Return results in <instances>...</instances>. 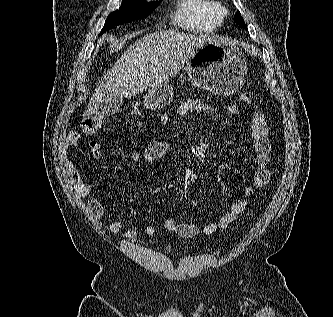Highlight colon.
<instances>
[{"mask_svg":"<svg viewBox=\"0 0 333 317\" xmlns=\"http://www.w3.org/2000/svg\"><path fill=\"white\" fill-rule=\"evenodd\" d=\"M239 99L247 105L252 104L254 101L250 92H241L239 94ZM101 123L102 121L99 118H86L82 122V128L88 134H93L100 128ZM92 146H94V143H92Z\"/></svg>","mask_w":333,"mask_h":317,"instance_id":"obj_1","label":"colon"}]
</instances>
